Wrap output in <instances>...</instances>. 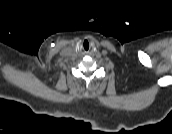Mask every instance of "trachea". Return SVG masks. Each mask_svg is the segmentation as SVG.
I'll return each mask as SVG.
<instances>
[{"instance_id": "obj_1", "label": "trachea", "mask_w": 172, "mask_h": 134, "mask_svg": "<svg viewBox=\"0 0 172 134\" xmlns=\"http://www.w3.org/2000/svg\"><path fill=\"white\" fill-rule=\"evenodd\" d=\"M84 47L88 49V47H89V42H88V40H85V41H84Z\"/></svg>"}]
</instances>
